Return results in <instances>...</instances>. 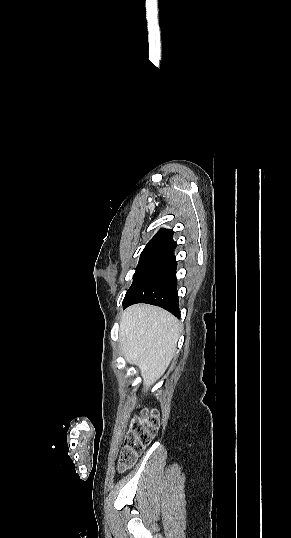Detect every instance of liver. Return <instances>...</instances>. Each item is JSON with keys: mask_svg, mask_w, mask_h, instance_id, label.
Listing matches in <instances>:
<instances>
[{"mask_svg": "<svg viewBox=\"0 0 291 538\" xmlns=\"http://www.w3.org/2000/svg\"><path fill=\"white\" fill-rule=\"evenodd\" d=\"M180 324L159 307L136 304L128 307L120 320L121 352L136 365L143 377V391L164 374L176 354Z\"/></svg>", "mask_w": 291, "mask_h": 538, "instance_id": "liver-1", "label": "liver"}]
</instances>
